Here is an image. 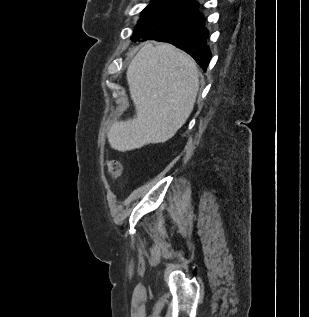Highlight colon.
Returning a JSON list of instances; mask_svg holds the SVG:
<instances>
[{
    "label": "colon",
    "mask_w": 309,
    "mask_h": 317,
    "mask_svg": "<svg viewBox=\"0 0 309 317\" xmlns=\"http://www.w3.org/2000/svg\"><path fill=\"white\" fill-rule=\"evenodd\" d=\"M109 172L115 178L119 177L121 174V166L117 162H110L109 163Z\"/></svg>",
    "instance_id": "5ec220e1"
}]
</instances>
